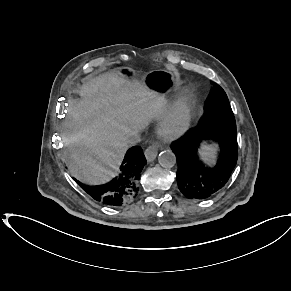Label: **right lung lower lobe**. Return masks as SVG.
I'll list each match as a JSON object with an SVG mask.
<instances>
[{"instance_id":"1","label":"right lung lower lobe","mask_w":291,"mask_h":291,"mask_svg":"<svg viewBox=\"0 0 291 291\" xmlns=\"http://www.w3.org/2000/svg\"><path fill=\"white\" fill-rule=\"evenodd\" d=\"M146 159L141 147L130 148L120 166L119 176L110 182L88 186L78 180L79 186L97 202L110 207H119L130 203L138 194L140 173L146 165Z\"/></svg>"}]
</instances>
